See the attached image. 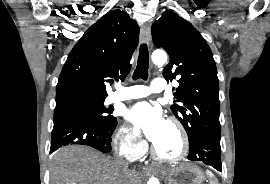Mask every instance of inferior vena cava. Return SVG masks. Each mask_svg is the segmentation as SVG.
I'll return each mask as SVG.
<instances>
[{"label": "inferior vena cava", "mask_w": 270, "mask_h": 184, "mask_svg": "<svg viewBox=\"0 0 270 184\" xmlns=\"http://www.w3.org/2000/svg\"><path fill=\"white\" fill-rule=\"evenodd\" d=\"M115 164L127 169L128 163L121 157H117L115 160Z\"/></svg>", "instance_id": "inferior-vena-cava-1"}]
</instances>
